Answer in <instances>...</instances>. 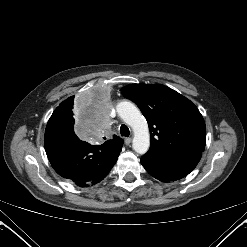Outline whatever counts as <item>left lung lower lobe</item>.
I'll return each mask as SVG.
<instances>
[{
    "mask_svg": "<svg viewBox=\"0 0 247 247\" xmlns=\"http://www.w3.org/2000/svg\"><path fill=\"white\" fill-rule=\"evenodd\" d=\"M201 153L198 151L164 153L149 150L140 161L153 177L162 182H169L188 175L199 162Z\"/></svg>",
    "mask_w": 247,
    "mask_h": 247,
    "instance_id": "1",
    "label": "left lung lower lobe"
}]
</instances>
